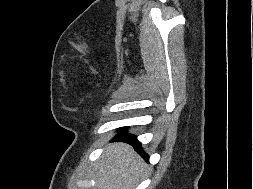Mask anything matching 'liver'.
I'll use <instances>...</instances> for the list:
<instances>
[{"label":"liver","instance_id":"liver-1","mask_svg":"<svg viewBox=\"0 0 253 189\" xmlns=\"http://www.w3.org/2000/svg\"><path fill=\"white\" fill-rule=\"evenodd\" d=\"M145 168L131 146L110 144L97 165L96 189H133Z\"/></svg>","mask_w":253,"mask_h":189}]
</instances>
